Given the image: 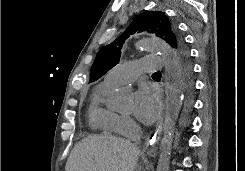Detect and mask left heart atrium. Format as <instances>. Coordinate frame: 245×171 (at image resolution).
I'll return each mask as SVG.
<instances>
[{"instance_id":"39dd6f15","label":"left heart atrium","mask_w":245,"mask_h":171,"mask_svg":"<svg viewBox=\"0 0 245 171\" xmlns=\"http://www.w3.org/2000/svg\"><path fill=\"white\" fill-rule=\"evenodd\" d=\"M161 111V99L157 91L141 87L135 94L134 115L144 124L153 123Z\"/></svg>"}]
</instances>
